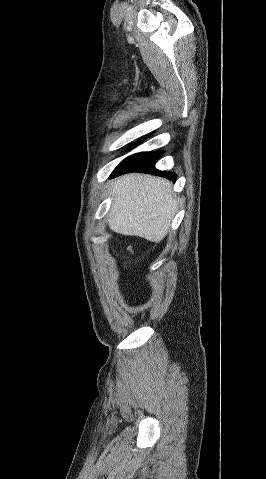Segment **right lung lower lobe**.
Segmentation results:
<instances>
[{
    "mask_svg": "<svg viewBox=\"0 0 266 479\" xmlns=\"http://www.w3.org/2000/svg\"><path fill=\"white\" fill-rule=\"evenodd\" d=\"M143 140H139L134 143L131 148L140 144ZM162 152H140L134 155H131L124 159L112 172L110 178L119 176L124 173L130 172H141V173H151L165 177L169 180L175 182L176 174L173 172H164L155 168V163L161 157Z\"/></svg>",
    "mask_w": 266,
    "mask_h": 479,
    "instance_id": "right-lung-lower-lobe-1",
    "label": "right lung lower lobe"
}]
</instances>
